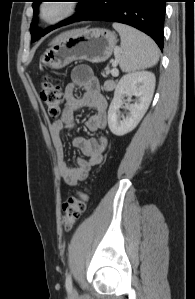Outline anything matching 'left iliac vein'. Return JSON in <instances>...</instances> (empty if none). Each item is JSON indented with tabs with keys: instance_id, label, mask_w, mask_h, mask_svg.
Listing matches in <instances>:
<instances>
[{
	"instance_id": "1",
	"label": "left iliac vein",
	"mask_w": 195,
	"mask_h": 299,
	"mask_svg": "<svg viewBox=\"0 0 195 299\" xmlns=\"http://www.w3.org/2000/svg\"><path fill=\"white\" fill-rule=\"evenodd\" d=\"M70 293H71V295H75L76 294V290L72 289Z\"/></svg>"
}]
</instances>
